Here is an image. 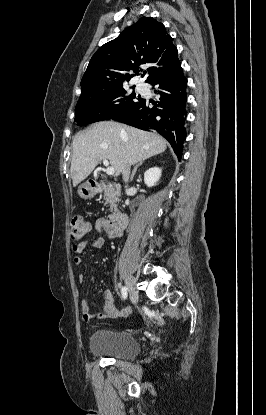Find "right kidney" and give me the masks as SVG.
Wrapping results in <instances>:
<instances>
[{
    "label": "right kidney",
    "instance_id": "right-kidney-1",
    "mask_svg": "<svg viewBox=\"0 0 266 415\" xmlns=\"http://www.w3.org/2000/svg\"><path fill=\"white\" fill-rule=\"evenodd\" d=\"M162 170L158 167L148 169L144 173V182L148 187H153L159 181Z\"/></svg>",
    "mask_w": 266,
    "mask_h": 415
}]
</instances>
